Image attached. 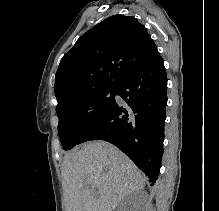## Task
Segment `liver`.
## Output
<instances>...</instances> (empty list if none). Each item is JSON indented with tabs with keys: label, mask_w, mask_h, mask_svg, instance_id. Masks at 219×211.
Segmentation results:
<instances>
[{
	"label": "liver",
	"mask_w": 219,
	"mask_h": 211,
	"mask_svg": "<svg viewBox=\"0 0 219 211\" xmlns=\"http://www.w3.org/2000/svg\"><path fill=\"white\" fill-rule=\"evenodd\" d=\"M145 183L143 171L107 141H88L63 157L66 211H114L123 197L142 191Z\"/></svg>",
	"instance_id": "6515ba94"
}]
</instances>
